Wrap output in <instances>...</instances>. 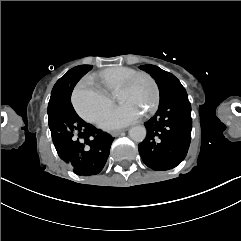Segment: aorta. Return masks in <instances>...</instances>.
Masks as SVG:
<instances>
[{
    "instance_id": "aorta-1",
    "label": "aorta",
    "mask_w": 241,
    "mask_h": 241,
    "mask_svg": "<svg viewBox=\"0 0 241 241\" xmlns=\"http://www.w3.org/2000/svg\"><path fill=\"white\" fill-rule=\"evenodd\" d=\"M146 135V128L141 125L133 126L129 130V136L135 142H143L146 138Z\"/></svg>"
}]
</instances>
